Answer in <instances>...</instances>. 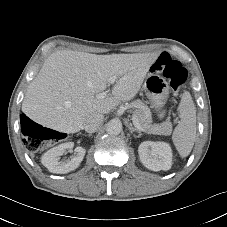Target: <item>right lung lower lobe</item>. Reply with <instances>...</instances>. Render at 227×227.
I'll return each instance as SVG.
<instances>
[{
	"mask_svg": "<svg viewBox=\"0 0 227 227\" xmlns=\"http://www.w3.org/2000/svg\"><path fill=\"white\" fill-rule=\"evenodd\" d=\"M20 119H21V128H22V130H23L26 126L30 125L31 123H34V122L31 121L28 117H26L24 114H21V115H20Z\"/></svg>",
	"mask_w": 227,
	"mask_h": 227,
	"instance_id": "98d812e1",
	"label": "right lung lower lobe"
}]
</instances>
